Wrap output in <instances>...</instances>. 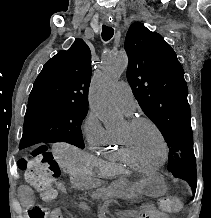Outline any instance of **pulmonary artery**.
Returning a JSON list of instances; mask_svg holds the SVG:
<instances>
[{
  "mask_svg": "<svg viewBox=\"0 0 211 218\" xmlns=\"http://www.w3.org/2000/svg\"><path fill=\"white\" fill-rule=\"evenodd\" d=\"M114 96L116 103L125 113H133L135 101L132 89L128 84L119 82L115 87Z\"/></svg>",
  "mask_w": 211,
  "mask_h": 218,
  "instance_id": "obj_1",
  "label": "pulmonary artery"
}]
</instances>
